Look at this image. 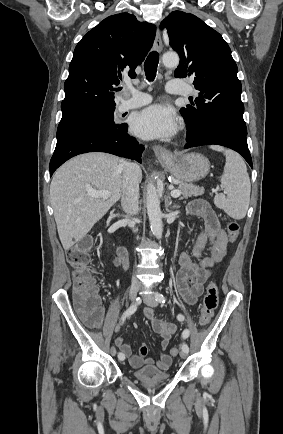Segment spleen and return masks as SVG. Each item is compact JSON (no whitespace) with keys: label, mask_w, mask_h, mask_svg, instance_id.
Listing matches in <instances>:
<instances>
[{"label":"spleen","mask_w":283,"mask_h":434,"mask_svg":"<svg viewBox=\"0 0 283 434\" xmlns=\"http://www.w3.org/2000/svg\"><path fill=\"white\" fill-rule=\"evenodd\" d=\"M213 150L223 152L226 157L221 184L224 194L214 198L215 205L234 219H243L249 207L251 184L246 164L235 152L219 146H211Z\"/></svg>","instance_id":"3e777b00"}]
</instances>
